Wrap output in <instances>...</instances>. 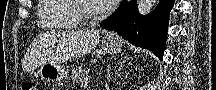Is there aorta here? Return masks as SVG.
Listing matches in <instances>:
<instances>
[{"label": "aorta", "mask_w": 216, "mask_h": 90, "mask_svg": "<svg viewBox=\"0 0 216 90\" xmlns=\"http://www.w3.org/2000/svg\"><path fill=\"white\" fill-rule=\"evenodd\" d=\"M154 4H156V0H138V14H140V16H147V14L153 10Z\"/></svg>", "instance_id": "762f6f07"}]
</instances>
